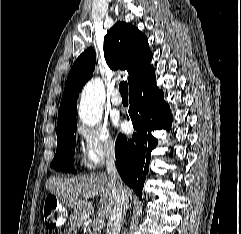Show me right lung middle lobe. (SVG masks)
Instances as JSON below:
<instances>
[{"label": "right lung middle lobe", "mask_w": 241, "mask_h": 234, "mask_svg": "<svg viewBox=\"0 0 241 234\" xmlns=\"http://www.w3.org/2000/svg\"><path fill=\"white\" fill-rule=\"evenodd\" d=\"M77 124L60 131H57V150L51 163L56 170L76 172L73 167V155L75 153Z\"/></svg>", "instance_id": "dd1d6c3e"}]
</instances>
